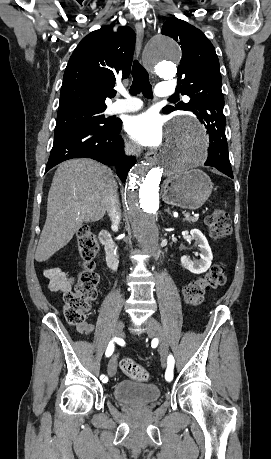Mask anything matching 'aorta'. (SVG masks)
Listing matches in <instances>:
<instances>
[{
    "label": "aorta",
    "mask_w": 271,
    "mask_h": 459,
    "mask_svg": "<svg viewBox=\"0 0 271 459\" xmlns=\"http://www.w3.org/2000/svg\"><path fill=\"white\" fill-rule=\"evenodd\" d=\"M178 44L165 36L154 38L146 48L148 65L161 77L172 78L180 58ZM162 166L144 161L130 171L126 184L125 204L134 237L151 255L159 254V231L156 215L159 209V185L163 171L172 175L188 173L207 159L206 133L193 118L175 119L167 132L162 152Z\"/></svg>",
    "instance_id": "aorta-1"
}]
</instances>
